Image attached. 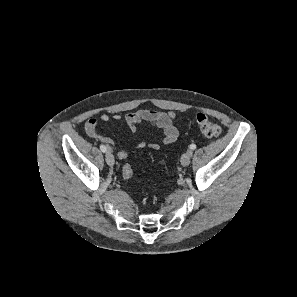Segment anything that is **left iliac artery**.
I'll use <instances>...</instances> for the list:
<instances>
[{"instance_id":"44dca946","label":"left iliac artery","mask_w":297,"mask_h":297,"mask_svg":"<svg viewBox=\"0 0 297 297\" xmlns=\"http://www.w3.org/2000/svg\"><path fill=\"white\" fill-rule=\"evenodd\" d=\"M189 148H190V150H195V149H196V145H195V144H191V145L189 146Z\"/></svg>"}]
</instances>
